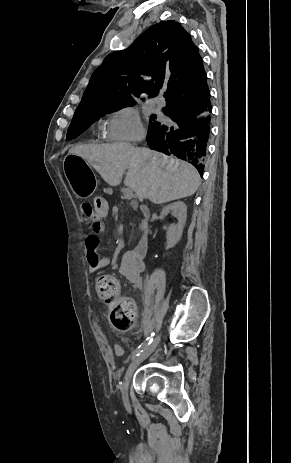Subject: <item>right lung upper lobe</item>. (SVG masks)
Instances as JSON below:
<instances>
[{
    "label": "right lung upper lobe",
    "mask_w": 291,
    "mask_h": 463,
    "mask_svg": "<svg viewBox=\"0 0 291 463\" xmlns=\"http://www.w3.org/2000/svg\"><path fill=\"white\" fill-rule=\"evenodd\" d=\"M205 75L203 60L189 33L176 21H162L148 28L127 49L105 57L93 72L76 110L110 102H135L140 94L154 97L159 90L166 91L165 109L190 106L206 92L202 86Z\"/></svg>",
    "instance_id": "1"
}]
</instances>
